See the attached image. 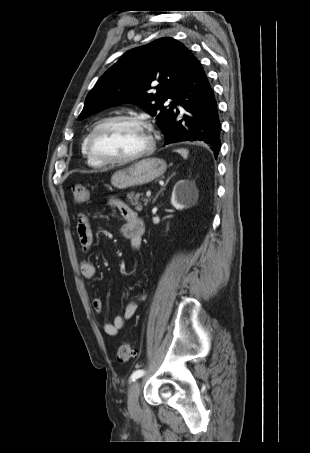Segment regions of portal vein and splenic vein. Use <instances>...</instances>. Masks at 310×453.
I'll list each match as a JSON object with an SVG mask.
<instances>
[{"label": "portal vein and splenic vein", "mask_w": 310, "mask_h": 453, "mask_svg": "<svg viewBox=\"0 0 310 453\" xmlns=\"http://www.w3.org/2000/svg\"><path fill=\"white\" fill-rule=\"evenodd\" d=\"M146 196L149 198L151 196V192L150 191H147L146 192Z\"/></svg>", "instance_id": "obj_1"}]
</instances>
